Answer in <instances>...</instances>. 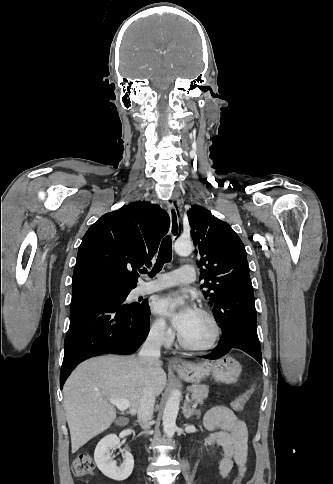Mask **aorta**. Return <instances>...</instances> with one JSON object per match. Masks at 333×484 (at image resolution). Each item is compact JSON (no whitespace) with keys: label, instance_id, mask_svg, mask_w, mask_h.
Segmentation results:
<instances>
[{"label":"aorta","instance_id":"1","mask_svg":"<svg viewBox=\"0 0 333 484\" xmlns=\"http://www.w3.org/2000/svg\"><path fill=\"white\" fill-rule=\"evenodd\" d=\"M174 250L178 255H189L193 250V245L190 240L178 239L174 243ZM182 304L183 301H180ZM180 405V392L174 391L167 400L163 412V431L167 437L172 438L176 431V418Z\"/></svg>","mask_w":333,"mask_h":484}]
</instances>
